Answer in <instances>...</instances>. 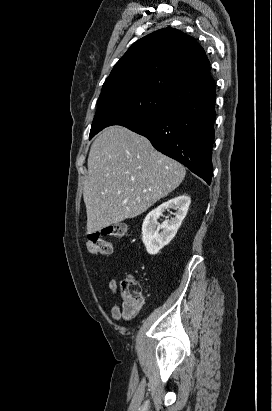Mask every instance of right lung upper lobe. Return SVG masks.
<instances>
[{"mask_svg": "<svg viewBox=\"0 0 272 411\" xmlns=\"http://www.w3.org/2000/svg\"><path fill=\"white\" fill-rule=\"evenodd\" d=\"M210 62L197 41L166 28L136 41L115 64L102 93L144 88L177 100L178 104L216 90Z\"/></svg>", "mask_w": 272, "mask_h": 411, "instance_id": "cb5924a9", "label": "right lung upper lobe"}]
</instances>
